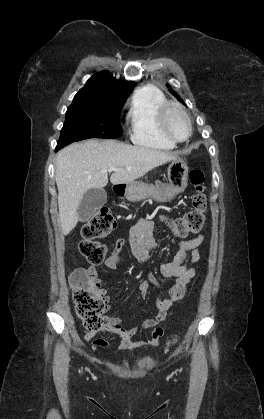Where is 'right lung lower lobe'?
<instances>
[{
	"label": "right lung lower lobe",
	"mask_w": 264,
	"mask_h": 419,
	"mask_svg": "<svg viewBox=\"0 0 264 419\" xmlns=\"http://www.w3.org/2000/svg\"><path fill=\"white\" fill-rule=\"evenodd\" d=\"M59 150V148H56V151H58Z\"/></svg>",
	"instance_id": "obj_1"
}]
</instances>
